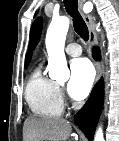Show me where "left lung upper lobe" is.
Wrapping results in <instances>:
<instances>
[{"mask_svg": "<svg viewBox=\"0 0 119 141\" xmlns=\"http://www.w3.org/2000/svg\"><path fill=\"white\" fill-rule=\"evenodd\" d=\"M41 28H42V21L41 19H37L31 27L32 39L29 46L30 48H33L37 44L40 37Z\"/></svg>", "mask_w": 119, "mask_h": 141, "instance_id": "1", "label": "left lung upper lobe"}]
</instances>
